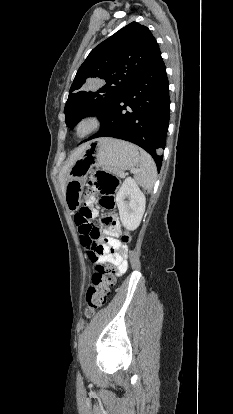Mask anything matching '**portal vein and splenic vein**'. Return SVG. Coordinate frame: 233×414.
Here are the masks:
<instances>
[{"label": "portal vein and splenic vein", "instance_id": "18ae733b", "mask_svg": "<svg viewBox=\"0 0 233 414\" xmlns=\"http://www.w3.org/2000/svg\"><path fill=\"white\" fill-rule=\"evenodd\" d=\"M134 172H138L139 170L138 169H134L133 170ZM125 176V174H123V177Z\"/></svg>", "mask_w": 233, "mask_h": 414}]
</instances>
